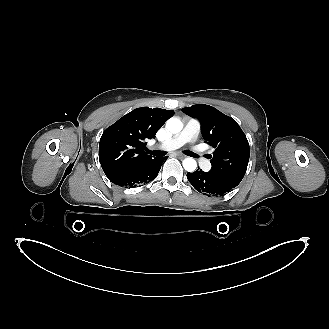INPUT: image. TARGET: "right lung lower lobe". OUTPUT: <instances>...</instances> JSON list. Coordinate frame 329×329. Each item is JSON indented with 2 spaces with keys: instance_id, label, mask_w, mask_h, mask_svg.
<instances>
[{
  "instance_id": "right-lung-lower-lobe-1",
  "label": "right lung lower lobe",
  "mask_w": 329,
  "mask_h": 329,
  "mask_svg": "<svg viewBox=\"0 0 329 329\" xmlns=\"http://www.w3.org/2000/svg\"><path fill=\"white\" fill-rule=\"evenodd\" d=\"M165 158L167 157H155L153 159L147 160L132 171L123 175L109 178V180L115 185L127 188H132L148 183L158 175Z\"/></svg>"
}]
</instances>
